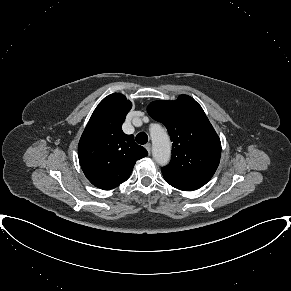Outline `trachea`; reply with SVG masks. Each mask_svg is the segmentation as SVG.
<instances>
[{
	"mask_svg": "<svg viewBox=\"0 0 291 291\" xmlns=\"http://www.w3.org/2000/svg\"><path fill=\"white\" fill-rule=\"evenodd\" d=\"M135 140L138 144L143 145V144H146L148 142V136L146 133L141 132V133L137 134Z\"/></svg>",
	"mask_w": 291,
	"mask_h": 291,
	"instance_id": "1",
	"label": "trachea"
}]
</instances>
